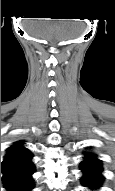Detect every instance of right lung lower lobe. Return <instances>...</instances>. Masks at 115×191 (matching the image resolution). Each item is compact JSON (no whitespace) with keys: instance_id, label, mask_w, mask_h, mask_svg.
<instances>
[{"instance_id":"right-lung-lower-lobe-1","label":"right lung lower lobe","mask_w":115,"mask_h":191,"mask_svg":"<svg viewBox=\"0 0 115 191\" xmlns=\"http://www.w3.org/2000/svg\"><path fill=\"white\" fill-rule=\"evenodd\" d=\"M33 173L34 169L26 172L3 174L4 188L7 191H31L34 187Z\"/></svg>"}]
</instances>
